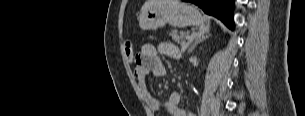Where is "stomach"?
I'll return each instance as SVG.
<instances>
[{
	"label": "stomach",
	"mask_w": 305,
	"mask_h": 116,
	"mask_svg": "<svg viewBox=\"0 0 305 116\" xmlns=\"http://www.w3.org/2000/svg\"><path fill=\"white\" fill-rule=\"evenodd\" d=\"M202 16L192 5L174 1L157 3L140 15L139 26L142 30H154L172 24L177 27L200 25Z\"/></svg>",
	"instance_id": "stomach-1"
}]
</instances>
